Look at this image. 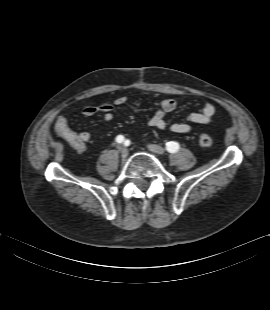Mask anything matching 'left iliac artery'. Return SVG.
<instances>
[{
    "mask_svg": "<svg viewBox=\"0 0 270 310\" xmlns=\"http://www.w3.org/2000/svg\"><path fill=\"white\" fill-rule=\"evenodd\" d=\"M180 146L177 142L171 141L166 144V149L170 153H175L179 150Z\"/></svg>",
    "mask_w": 270,
    "mask_h": 310,
    "instance_id": "left-iliac-artery-1",
    "label": "left iliac artery"
}]
</instances>
